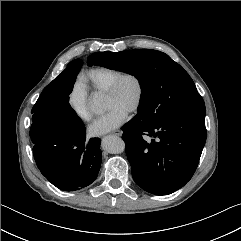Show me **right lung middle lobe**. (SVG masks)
<instances>
[{"mask_svg":"<svg viewBox=\"0 0 241 241\" xmlns=\"http://www.w3.org/2000/svg\"><path fill=\"white\" fill-rule=\"evenodd\" d=\"M82 66L81 60L72 61L68 67L47 85L32 108L30 137H43L53 131L52 122L60 130H84L85 126L69 104L76 76Z\"/></svg>","mask_w":241,"mask_h":241,"instance_id":"1","label":"right lung middle lobe"}]
</instances>
